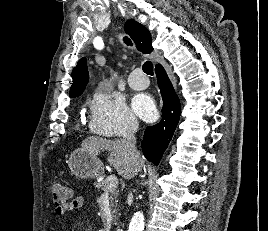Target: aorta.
<instances>
[{"label": "aorta", "instance_id": "obj_1", "mask_svg": "<svg viewBox=\"0 0 268 231\" xmlns=\"http://www.w3.org/2000/svg\"><path fill=\"white\" fill-rule=\"evenodd\" d=\"M144 230V215L142 212H136L130 222L129 231H143Z\"/></svg>", "mask_w": 268, "mask_h": 231}]
</instances>
